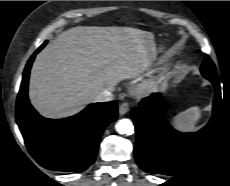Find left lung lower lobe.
<instances>
[{
  "instance_id": "0a47b994",
  "label": "left lung lower lobe",
  "mask_w": 230,
  "mask_h": 186,
  "mask_svg": "<svg viewBox=\"0 0 230 186\" xmlns=\"http://www.w3.org/2000/svg\"><path fill=\"white\" fill-rule=\"evenodd\" d=\"M210 81L216 90L213 116L196 133H180L169 125L163 116L160 94L144 98L138 107L132 109L131 118L137 134L135 159L145 172L173 175L206 144L220 115L223 101L219 79Z\"/></svg>"
}]
</instances>
